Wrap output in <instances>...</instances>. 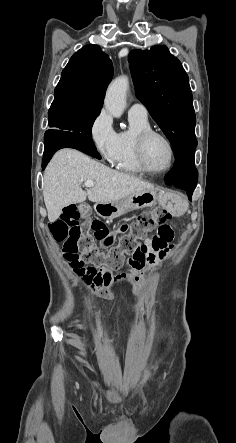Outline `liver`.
I'll return each instance as SVG.
<instances>
[{
	"mask_svg": "<svg viewBox=\"0 0 236 443\" xmlns=\"http://www.w3.org/2000/svg\"><path fill=\"white\" fill-rule=\"evenodd\" d=\"M87 180L95 186L85 191L81 184ZM152 189V184L135 176L112 170L77 150L63 149L53 156L45 170L43 196L48 219L55 222L64 207L82 203L86 198L106 204Z\"/></svg>",
	"mask_w": 236,
	"mask_h": 443,
	"instance_id": "6515ba94",
	"label": "liver"
}]
</instances>
